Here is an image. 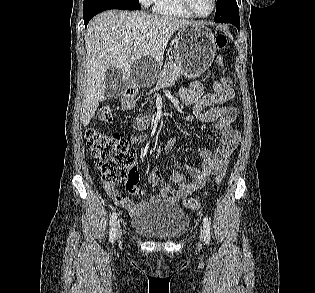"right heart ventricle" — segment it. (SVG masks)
Masks as SVG:
<instances>
[{
	"label": "right heart ventricle",
	"mask_w": 315,
	"mask_h": 293,
	"mask_svg": "<svg viewBox=\"0 0 315 293\" xmlns=\"http://www.w3.org/2000/svg\"><path fill=\"white\" fill-rule=\"evenodd\" d=\"M154 7L157 13L167 17L178 19L193 17L185 8L183 0H156Z\"/></svg>",
	"instance_id": "obj_1"
}]
</instances>
